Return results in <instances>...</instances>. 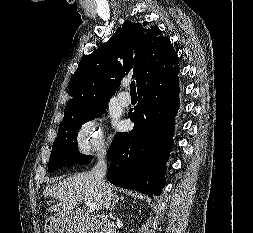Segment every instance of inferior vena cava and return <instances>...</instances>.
I'll list each match as a JSON object with an SVG mask.
<instances>
[{
  "label": "inferior vena cava",
  "instance_id": "inferior-vena-cava-1",
  "mask_svg": "<svg viewBox=\"0 0 253 233\" xmlns=\"http://www.w3.org/2000/svg\"><path fill=\"white\" fill-rule=\"evenodd\" d=\"M105 154L106 150H102L100 154L97 156L98 160L97 164L92 168L91 173L93 174L95 180L101 185L103 189L104 205L105 208L108 209L110 208L113 195L104 179L107 170V161ZM107 230H108L107 233H110V231L112 230V225L109 222L107 224Z\"/></svg>",
  "mask_w": 253,
  "mask_h": 233
}]
</instances>
